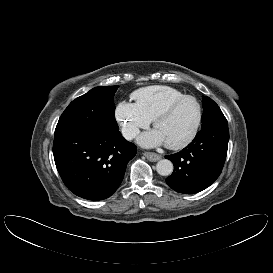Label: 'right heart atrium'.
<instances>
[{"instance_id":"right-heart-atrium-1","label":"right heart atrium","mask_w":273,"mask_h":273,"mask_svg":"<svg viewBox=\"0 0 273 273\" xmlns=\"http://www.w3.org/2000/svg\"><path fill=\"white\" fill-rule=\"evenodd\" d=\"M115 118L126 139H133L141 129L147 128L151 123L135 104L126 101L117 104Z\"/></svg>"}]
</instances>
